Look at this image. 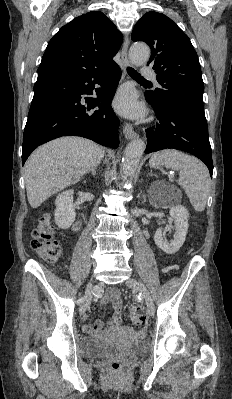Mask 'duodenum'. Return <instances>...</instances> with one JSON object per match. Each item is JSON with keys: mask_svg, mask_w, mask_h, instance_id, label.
Segmentation results:
<instances>
[{"mask_svg": "<svg viewBox=\"0 0 232 399\" xmlns=\"http://www.w3.org/2000/svg\"><path fill=\"white\" fill-rule=\"evenodd\" d=\"M80 226H81V221L78 220V221H76V223L74 224L73 229H74L75 231H77V230H79Z\"/></svg>", "mask_w": 232, "mask_h": 399, "instance_id": "1", "label": "duodenum"}]
</instances>
